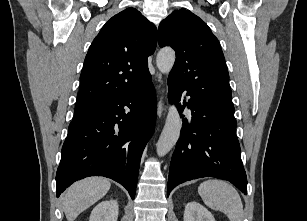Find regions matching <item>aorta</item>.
I'll return each mask as SVG.
<instances>
[{"mask_svg": "<svg viewBox=\"0 0 307 221\" xmlns=\"http://www.w3.org/2000/svg\"><path fill=\"white\" fill-rule=\"evenodd\" d=\"M175 62V52L172 48H163L157 54V67L163 74H169ZM182 121L175 105L168 109L166 122L156 145L157 155H166L179 139Z\"/></svg>", "mask_w": 307, "mask_h": 221, "instance_id": "1", "label": "aorta"}]
</instances>
